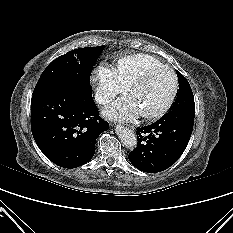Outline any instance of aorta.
<instances>
[{"label":"aorta","instance_id":"762f6f07","mask_svg":"<svg viewBox=\"0 0 233 233\" xmlns=\"http://www.w3.org/2000/svg\"><path fill=\"white\" fill-rule=\"evenodd\" d=\"M116 133L126 148L132 149V150L136 148L137 137L131 129L125 126L118 125L116 127Z\"/></svg>","mask_w":233,"mask_h":233}]
</instances>
